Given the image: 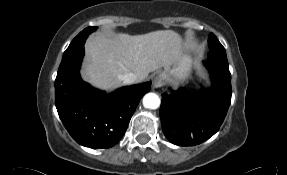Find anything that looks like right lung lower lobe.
<instances>
[{"label":"right lung lower lobe","instance_id":"98d812e1","mask_svg":"<svg viewBox=\"0 0 287 175\" xmlns=\"http://www.w3.org/2000/svg\"><path fill=\"white\" fill-rule=\"evenodd\" d=\"M87 37H80L64 52L55 80L56 108L77 143L94 149L110 148L123 137L151 83L126 86L106 95L82 81L79 69Z\"/></svg>","mask_w":287,"mask_h":175}]
</instances>
